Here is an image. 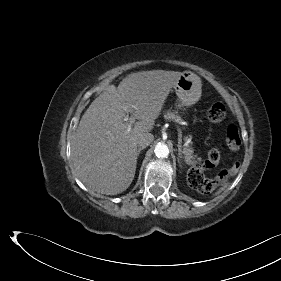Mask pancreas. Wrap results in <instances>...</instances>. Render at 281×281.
I'll return each instance as SVG.
<instances>
[{"label":"pancreas","mask_w":281,"mask_h":281,"mask_svg":"<svg viewBox=\"0 0 281 281\" xmlns=\"http://www.w3.org/2000/svg\"><path fill=\"white\" fill-rule=\"evenodd\" d=\"M164 118L166 120L174 121L176 123L182 122V118L178 114H176V112H172L171 110H168L165 113ZM185 140H187V137H185ZM193 153H194V150L190 145H188L187 147L184 148L183 154H184L186 163L188 165H191L192 168H195L196 165L198 164V161L196 160V156Z\"/></svg>","instance_id":"pancreas-1"}]
</instances>
